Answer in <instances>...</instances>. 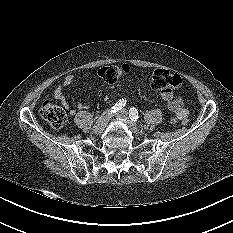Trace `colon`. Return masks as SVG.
I'll return each instance as SVG.
<instances>
[{
	"instance_id": "1",
	"label": "colon",
	"mask_w": 233,
	"mask_h": 233,
	"mask_svg": "<svg viewBox=\"0 0 233 233\" xmlns=\"http://www.w3.org/2000/svg\"><path fill=\"white\" fill-rule=\"evenodd\" d=\"M132 72L130 66L109 65L98 70V76L107 83H115L121 77ZM152 88L160 91H173L179 89L182 85V79L178 74L172 73L166 69H156L148 76ZM39 114L43 120L55 129H60L66 122L67 115L65 111L49 101H45L40 109ZM187 119L183 124H187Z\"/></svg>"
}]
</instances>
